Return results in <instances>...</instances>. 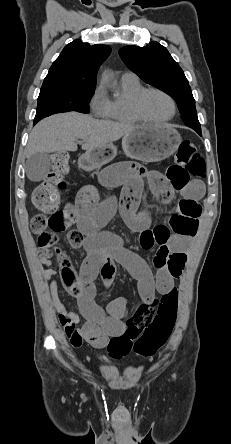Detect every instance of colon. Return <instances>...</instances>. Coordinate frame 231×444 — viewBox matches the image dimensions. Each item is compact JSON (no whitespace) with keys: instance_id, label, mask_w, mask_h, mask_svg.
<instances>
[{"instance_id":"5ec220e1","label":"colon","mask_w":231,"mask_h":444,"mask_svg":"<svg viewBox=\"0 0 231 444\" xmlns=\"http://www.w3.org/2000/svg\"><path fill=\"white\" fill-rule=\"evenodd\" d=\"M53 170L46 179L35 188L32 202L41 213L31 220V230L39 235L40 247L53 255L61 269V279L65 289L79 295L81 285L68 256L56 246L53 233L68 229L73 224V216L67 209H59L60 192L65 189L64 173L66 160L62 155L53 158ZM206 166L197 147L190 141H184L178 151L175 164L167 170L168 180L177 188L187 187L195 178L205 176ZM200 215L199 205L192 200L182 199L178 203L175 216L170 220L173 233L184 237L195 235ZM158 236H167L170 229L158 226ZM178 292L176 289L154 298L151 303L137 307L134 315L126 319V330L114 336L108 343V355L113 359H122L134 352L145 358L152 357L168 341L176 320Z\"/></svg>"}]
</instances>
